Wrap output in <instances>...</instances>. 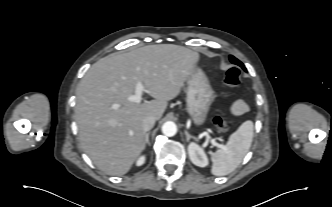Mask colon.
I'll return each instance as SVG.
<instances>
[{"mask_svg": "<svg viewBox=\"0 0 332 207\" xmlns=\"http://www.w3.org/2000/svg\"><path fill=\"white\" fill-rule=\"evenodd\" d=\"M224 82L229 87L237 86L240 82V73L238 69L236 68L229 69L225 73ZM213 122L219 131L225 132L228 130V122L225 119L221 117H216L214 118Z\"/></svg>", "mask_w": 332, "mask_h": 207, "instance_id": "colon-1", "label": "colon"}]
</instances>
